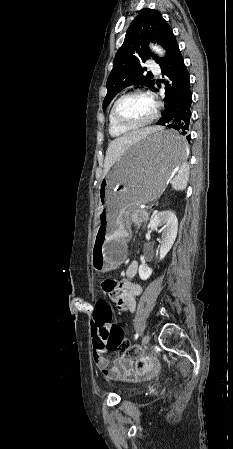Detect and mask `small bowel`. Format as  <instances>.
<instances>
[{"mask_svg": "<svg viewBox=\"0 0 233 449\" xmlns=\"http://www.w3.org/2000/svg\"><path fill=\"white\" fill-rule=\"evenodd\" d=\"M138 269L137 262H131L125 272L123 278L119 281L117 278H103L101 280V288L106 296L115 302L119 308L126 310L130 313H134L136 310V298L141 294L142 288L140 285L134 283L132 279L136 276ZM96 310V309H94ZM99 310V309H98ZM94 319V318H93ZM94 337V334H92ZM94 341V340H93ZM105 349L93 348V360L96 367L110 380H116L126 377L131 374V362L129 357L124 354H120L113 363V366H109V359L105 357ZM159 356L157 354H150L146 361L148 368H141L139 375L141 377H149L152 375V370L149 368H155Z\"/></svg>", "mask_w": 233, "mask_h": 449, "instance_id": "obj_1", "label": "small bowel"}]
</instances>
